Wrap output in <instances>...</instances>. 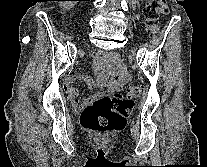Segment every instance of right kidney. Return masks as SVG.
<instances>
[{
	"label": "right kidney",
	"instance_id": "obj_1",
	"mask_svg": "<svg viewBox=\"0 0 207 167\" xmlns=\"http://www.w3.org/2000/svg\"><path fill=\"white\" fill-rule=\"evenodd\" d=\"M60 6L63 8V9H70L72 7V2H59Z\"/></svg>",
	"mask_w": 207,
	"mask_h": 167
}]
</instances>
